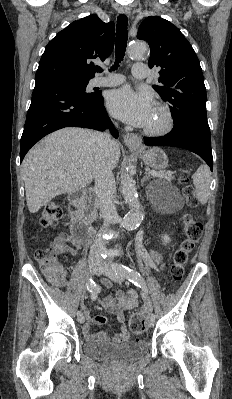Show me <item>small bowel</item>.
<instances>
[{"label": "small bowel", "instance_id": "obj_1", "mask_svg": "<svg viewBox=\"0 0 232 399\" xmlns=\"http://www.w3.org/2000/svg\"><path fill=\"white\" fill-rule=\"evenodd\" d=\"M83 247L82 242H57L54 244L56 251L60 253L75 254L78 249ZM152 259L155 261H161L159 254H153ZM102 284L108 290L113 288V282L108 278H102ZM118 301H115L111 296L106 297L102 300V305L111 312L116 314L119 322H123L124 311L135 308L137 306V291L130 289L127 294L122 290L117 291ZM81 312L87 318V322L79 327V330L85 336L87 343L91 346L97 345L99 337L93 333V325L103 324L105 318L101 315H94L90 312L87 306H81ZM130 333V328L122 324L117 332L109 334L111 340H118L127 337Z\"/></svg>", "mask_w": 232, "mask_h": 399}]
</instances>
